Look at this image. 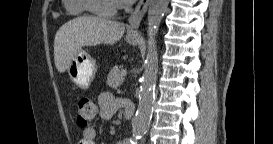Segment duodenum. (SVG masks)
<instances>
[{
    "instance_id": "410a0bca",
    "label": "duodenum",
    "mask_w": 273,
    "mask_h": 144,
    "mask_svg": "<svg viewBox=\"0 0 273 144\" xmlns=\"http://www.w3.org/2000/svg\"><path fill=\"white\" fill-rule=\"evenodd\" d=\"M122 105L124 108L125 119L132 120L134 117V105L127 100H122Z\"/></svg>"
}]
</instances>
